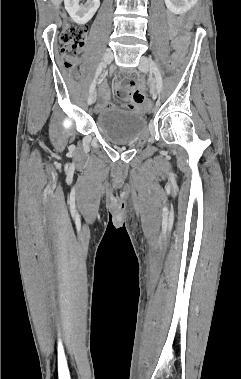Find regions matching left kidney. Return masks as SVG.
I'll return each instance as SVG.
<instances>
[{
	"instance_id": "obj_1",
	"label": "left kidney",
	"mask_w": 241,
	"mask_h": 379,
	"mask_svg": "<svg viewBox=\"0 0 241 379\" xmlns=\"http://www.w3.org/2000/svg\"><path fill=\"white\" fill-rule=\"evenodd\" d=\"M198 0H165L167 8L174 14H183L189 11Z\"/></svg>"
}]
</instances>
